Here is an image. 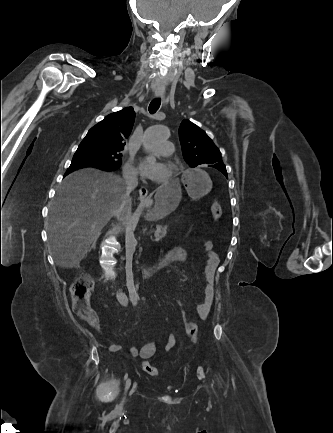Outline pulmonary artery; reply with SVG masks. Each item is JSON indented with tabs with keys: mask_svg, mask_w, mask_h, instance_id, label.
I'll return each instance as SVG.
<instances>
[{
	"mask_svg": "<svg viewBox=\"0 0 333 433\" xmlns=\"http://www.w3.org/2000/svg\"><path fill=\"white\" fill-rule=\"evenodd\" d=\"M173 144L170 141H160L157 145L148 148V151L151 153H157L163 156H169L173 153Z\"/></svg>",
	"mask_w": 333,
	"mask_h": 433,
	"instance_id": "e3ab8cb5",
	"label": "pulmonary artery"
}]
</instances>
